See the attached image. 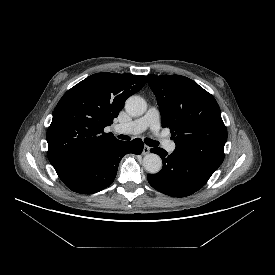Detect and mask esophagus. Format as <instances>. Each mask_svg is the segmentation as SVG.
I'll list each match as a JSON object with an SVG mask.
<instances>
[{"label":"esophagus","instance_id":"esophagus-1","mask_svg":"<svg viewBox=\"0 0 275 275\" xmlns=\"http://www.w3.org/2000/svg\"><path fill=\"white\" fill-rule=\"evenodd\" d=\"M148 153H150V147L145 145L143 148V154H148Z\"/></svg>","mask_w":275,"mask_h":275}]
</instances>
